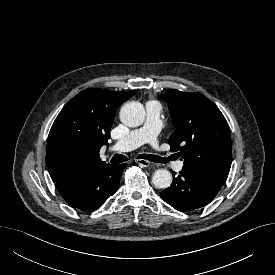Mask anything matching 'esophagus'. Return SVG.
<instances>
[{
  "instance_id": "34e87169",
  "label": "esophagus",
  "mask_w": 275,
  "mask_h": 275,
  "mask_svg": "<svg viewBox=\"0 0 275 275\" xmlns=\"http://www.w3.org/2000/svg\"><path fill=\"white\" fill-rule=\"evenodd\" d=\"M136 162L143 167H149L151 165V162H149L148 160H144V159H138V160H136Z\"/></svg>"
}]
</instances>
